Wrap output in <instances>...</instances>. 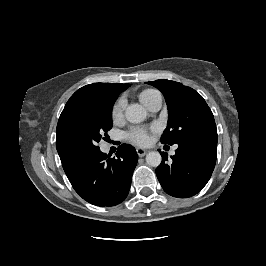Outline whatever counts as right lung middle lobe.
Returning <instances> with one entry per match:
<instances>
[{"instance_id": "dd1d6c3e", "label": "right lung middle lobe", "mask_w": 266, "mask_h": 266, "mask_svg": "<svg viewBox=\"0 0 266 266\" xmlns=\"http://www.w3.org/2000/svg\"><path fill=\"white\" fill-rule=\"evenodd\" d=\"M116 98L97 100L71 117L57 138V150L73 159H86L99 149L102 135L112 128V107Z\"/></svg>"}]
</instances>
